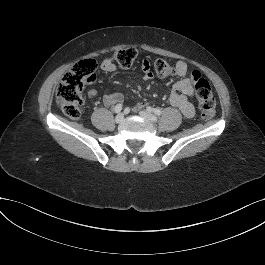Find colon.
Segmentation results:
<instances>
[{
	"label": "colon",
	"instance_id": "colon-1",
	"mask_svg": "<svg viewBox=\"0 0 265 265\" xmlns=\"http://www.w3.org/2000/svg\"><path fill=\"white\" fill-rule=\"evenodd\" d=\"M136 58L137 51L134 48H124L115 52L111 61L121 68H129ZM96 67V61L93 59L81 60L71 67L60 81L56 90V99L68 117L80 118L83 105L82 90L87 84L95 82ZM154 70L160 78H171L177 73L176 68L163 59L154 61ZM190 80L194 85L202 118L212 119L215 115L216 100L210 84L197 70L192 71Z\"/></svg>",
	"mask_w": 265,
	"mask_h": 265
}]
</instances>
